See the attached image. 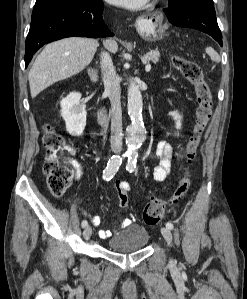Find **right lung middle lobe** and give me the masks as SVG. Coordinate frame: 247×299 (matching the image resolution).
<instances>
[{"label":"right lung middle lobe","mask_w":247,"mask_h":299,"mask_svg":"<svg viewBox=\"0 0 247 299\" xmlns=\"http://www.w3.org/2000/svg\"><path fill=\"white\" fill-rule=\"evenodd\" d=\"M75 1H80V0H36L33 13H32V18H35L38 15L46 12L47 10L59 6L61 4L68 3V2H75Z\"/></svg>","instance_id":"right-lung-middle-lobe-1"}]
</instances>
